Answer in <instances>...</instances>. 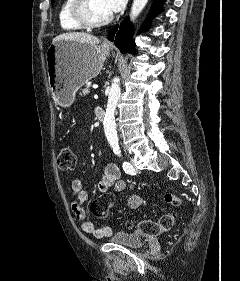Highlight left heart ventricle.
Here are the masks:
<instances>
[{"label":"left heart ventricle","mask_w":240,"mask_h":281,"mask_svg":"<svg viewBox=\"0 0 240 281\" xmlns=\"http://www.w3.org/2000/svg\"><path fill=\"white\" fill-rule=\"evenodd\" d=\"M92 10L95 18H105L109 14V10L106 7L105 0H91Z\"/></svg>","instance_id":"b2bd125f"}]
</instances>
